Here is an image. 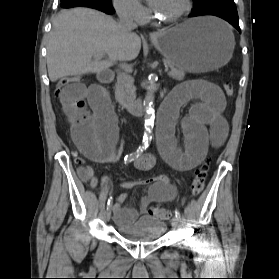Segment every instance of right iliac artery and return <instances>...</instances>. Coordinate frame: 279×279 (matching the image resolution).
Returning a JSON list of instances; mask_svg holds the SVG:
<instances>
[{
    "mask_svg": "<svg viewBox=\"0 0 279 279\" xmlns=\"http://www.w3.org/2000/svg\"><path fill=\"white\" fill-rule=\"evenodd\" d=\"M144 151V147H139L136 152L126 155L124 158L125 163L131 162L135 158H138ZM112 204V197L108 199L107 206L110 207Z\"/></svg>",
    "mask_w": 279,
    "mask_h": 279,
    "instance_id": "obj_1",
    "label": "right iliac artery"
}]
</instances>
